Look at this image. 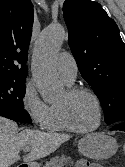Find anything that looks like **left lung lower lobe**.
Returning <instances> with one entry per match:
<instances>
[{"mask_svg":"<svg viewBox=\"0 0 125 167\" xmlns=\"http://www.w3.org/2000/svg\"><path fill=\"white\" fill-rule=\"evenodd\" d=\"M110 130L125 131V122H120V123L112 125V127L110 128Z\"/></svg>","mask_w":125,"mask_h":167,"instance_id":"0a47b994","label":"left lung lower lobe"}]
</instances>
